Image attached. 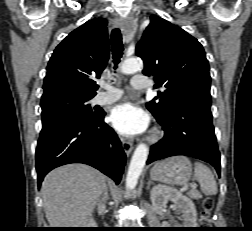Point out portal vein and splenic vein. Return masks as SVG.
<instances>
[{"label": "portal vein and splenic vein", "instance_id": "obj_1", "mask_svg": "<svg viewBox=\"0 0 252 231\" xmlns=\"http://www.w3.org/2000/svg\"><path fill=\"white\" fill-rule=\"evenodd\" d=\"M192 187H193V188H196L197 185L194 184V185H192ZM187 190H188V185H184V186L181 187V189H180L181 192H186Z\"/></svg>", "mask_w": 252, "mask_h": 231}]
</instances>
